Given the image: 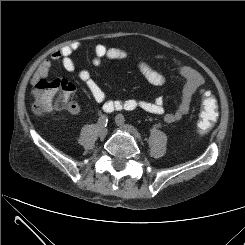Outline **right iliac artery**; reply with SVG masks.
Returning <instances> with one entry per match:
<instances>
[{
  "mask_svg": "<svg viewBox=\"0 0 245 245\" xmlns=\"http://www.w3.org/2000/svg\"><path fill=\"white\" fill-rule=\"evenodd\" d=\"M99 125L107 126L108 123V117L106 115H101L98 120Z\"/></svg>",
  "mask_w": 245,
  "mask_h": 245,
  "instance_id": "82829eb1",
  "label": "right iliac artery"
}]
</instances>
